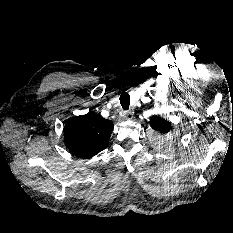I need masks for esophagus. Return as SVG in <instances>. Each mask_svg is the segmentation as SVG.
Masks as SVG:
<instances>
[{
    "label": "esophagus",
    "mask_w": 233,
    "mask_h": 233,
    "mask_svg": "<svg viewBox=\"0 0 233 233\" xmlns=\"http://www.w3.org/2000/svg\"><path fill=\"white\" fill-rule=\"evenodd\" d=\"M123 117H124L125 119L130 120V119L133 118V113H132L131 111H125V112L123 113Z\"/></svg>",
    "instance_id": "esophagus-1"
}]
</instances>
